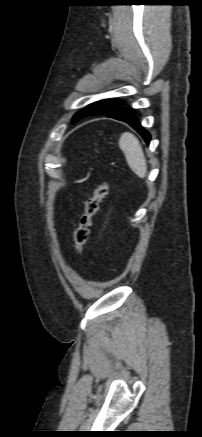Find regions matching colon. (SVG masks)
Here are the masks:
<instances>
[{
	"instance_id": "obj_1",
	"label": "colon",
	"mask_w": 202,
	"mask_h": 437,
	"mask_svg": "<svg viewBox=\"0 0 202 437\" xmlns=\"http://www.w3.org/2000/svg\"><path fill=\"white\" fill-rule=\"evenodd\" d=\"M108 192L109 183L106 180H103L94 190L92 197L86 202L85 211L74 231V251L77 257L80 256L85 244L89 239L92 220L99 211L100 205L107 196Z\"/></svg>"
}]
</instances>
